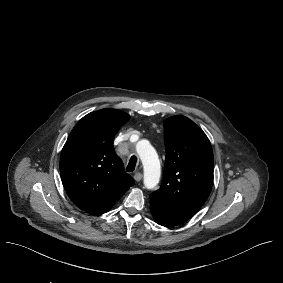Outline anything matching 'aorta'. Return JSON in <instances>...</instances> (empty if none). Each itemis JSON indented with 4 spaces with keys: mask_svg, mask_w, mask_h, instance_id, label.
I'll use <instances>...</instances> for the list:
<instances>
[{
    "mask_svg": "<svg viewBox=\"0 0 283 283\" xmlns=\"http://www.w3.org/2000/svg\"><path fill=\"white\" fill-rule=\"evenodd\" d=\"M136 151L143 164L144 186L153 189L159 183L161 175L158 155L147 140H140L136 145Z\"/></svg>",
    "mask_w": 283,
    "mask_h": 283,
    "instance_id": "obj_1",
    "label": "aorta"
}]
</instances>
